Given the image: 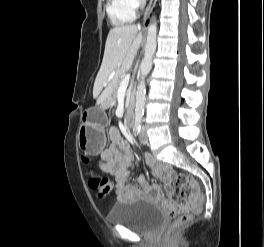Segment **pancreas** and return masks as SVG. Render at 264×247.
<instances>
[{
	"mask_svg": "<svg viewBox=\"0 0 264 247\" xmlns=\"http://www.w3.org/2000/svg\"><path fill=\"white\" fill-rule=\"evenodd\" d=\"M118 89H119V84H116L115 87L113 88V91H112L113 96L112 97H109L106 100L105 105H111L112 103L115 102L116 97H117V91H118ZM131 100H132V96L130 97L129 102H131Z\"/></svg>",
	"mask_w": 264,
	"mask_h": 247,
	"instance_id": "obj_1",
	"label": "pancreas"
}]
</instances>
